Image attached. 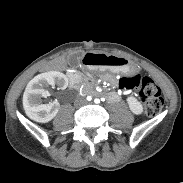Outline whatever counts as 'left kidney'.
Listing matches in <instances>:
<instances>
[{"label": "left kidney", "instance_id": "5707ae66", "mask_svg": "<svg viewBox=\"0 0 183 183\" xmlns=\"http://www.w3.org/2000/svg\"><path fill=\"white\" fill-rule=\"evenodd\" d=\"M127 103L132 113L140 115L143 113L142 104L133 96L127 98Z\"/></svg>", "mask_w": 183, "mask_h": 183}]
</instances>
